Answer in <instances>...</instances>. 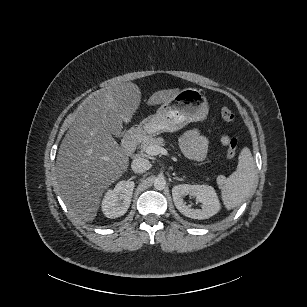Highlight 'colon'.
<instances>
[{
    "mask_svg": "<svg viewBox=\"0 0 307 307\" xmlns=\"http://www.w3.org/2000/svg\"><path fill=\"white\" fill-rule=\"evenodd\" d=\"M220 115L221 118L225 122H230L234 118L233 112L227 108V107H222L220 110ZM237 146H238V141L236 139H231L229 142L228 150L226 151V156L227 158H234L236 153H237Z\"/></svg>",
    "mask_w": 307,
    "mask_h": 307,
    "instance_id": "colon-1",
    "label": "colon"
}]
</instances>
